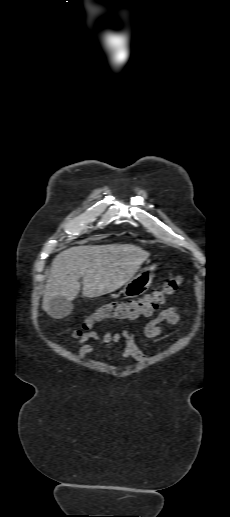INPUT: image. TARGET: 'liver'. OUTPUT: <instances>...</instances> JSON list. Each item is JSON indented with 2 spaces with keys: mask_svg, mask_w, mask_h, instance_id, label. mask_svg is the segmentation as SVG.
<instances>
[{
  "mask_svg": "<svg viewBox=\"0 0 230 517\" xmlns=\"http://www.w3.org/2000/svg\"><path fill=\"white\" fill-rule=\"evenodd\" d=\"M149 253L132 244L81 245L68 248L53 260L43 296V310L55 297L72 301L82 294L99 297L116 291L138 272Z\"/></svg>",
  "mask_w": 230,
  "mask_h": 517,
  "instance_id": "6515ba94",
  "label": "liver"
}]
</instances>
